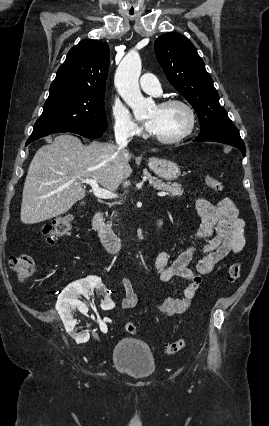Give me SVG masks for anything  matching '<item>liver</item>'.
<instances>
[{"mask_svg":"<svg viewBox=\"0 0 269 426\" xmlns=\"http://www.w3.org/2000/svg\"><path fill=\"white\" fill-rule=\"evenodd\" d=\"M131 155L112 143L84 145L71 134H62L41 147L33 157L23 187L20 219L36 224L66 213L86 191L82 179H96L109 191L132 173ZM84 204V202H81Z\"/></svg>","mask_w":269,"mask_h":426,"instance_id":"obj_1","label":"liver"}]
</instances>
